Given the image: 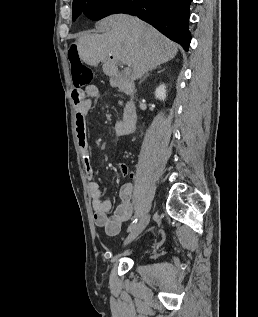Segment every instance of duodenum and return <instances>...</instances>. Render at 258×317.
Wrapping results in <instances>:
<instances>
[{"instance_id":"obj_1","label":"duodenum","mask_w":258,"mask_h":317,"mask_svg":"<svg viewBox=\"0 0 258 317\" xmlns=\"http://www.w3.org/2000/svg\"><path fill=\"white\" fill-rule=\"evenodd\" d=\"M87 93L82 88H75L72 91V100L76 107H80L86 101Z\"/></svg>"}]
</instances>
